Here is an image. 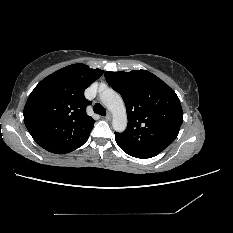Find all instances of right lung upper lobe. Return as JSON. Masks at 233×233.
Instances as JSON below:
<instances>
[{"mask_svg": "<svg viewBox=\"0 0 233 233\" xmlns=\"http://www.w3.org/2000/svg\"><path fill=\"white\" fill-rule=\"evenodd\" d=\"M100 69L73 64L43 79L24 107V123L42 148L56 154L69 153L83 145L95 120L88 116L91 104L84 90L102 75Z\"/></svg>", "mask_w": 233, "mask_h": 233, "instance_id": "1", "label": "right lung upper lobe"}]
</instances>
